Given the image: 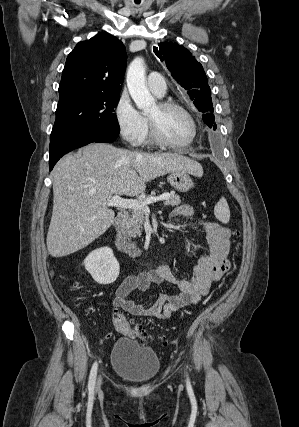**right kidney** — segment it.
<instances>
[{
	"label": "right kidney",
	"instance_id": "obj_1",
	"mask_svg": "<svg viewBox=\"0 0 299 427\" xmlns=\"http://www.w3.org/2000/svg\"><path fill=\"white\" fill-rule=\"evenodd\" d=\"M84 266L92 278L102 285L113 283L120 271L119 263L109 247L92 251L85 258Z\"/></svg>",
	"mask_w": 299,
	"mask_h": 427
}]
</instances>
